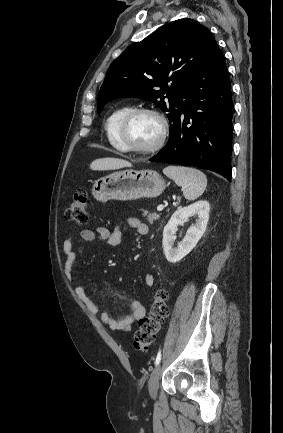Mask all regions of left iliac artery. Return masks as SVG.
<instances>
[{
	"label": "left iliac artery",
	"mask_w": 283,
	"mask_h": 433,
	"mask_svg": "<svg viewBox=\"0 0 283 433\" xmlns=\"http://www.w3.org/2000/svg\"><path fill=\"white\" fill-rule=\"evenodd\" d=\"M160 361H161V350H159V352L157 354V357H156V360H155V365L156 366L159 365Z\"/></svg>",
	"instance_id": "left-iliac-artery-1"
}]
</instances>
